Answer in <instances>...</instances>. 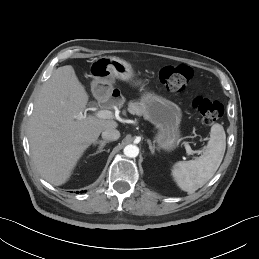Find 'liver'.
<instances>
[{"mask_svg":"<svg viewBox=\"0 0 259 259\" xmlns=\"http://www.w3.org/2000/svg\"><path fill=\"white\" fill-rule=\"evenodd\" d=\"M88 100L74 68L66 65L53 72L35 102L28 128L31 155L41 176L55 186L70 178L102 131L118 127L114 120L83 115Z\"/></svg>","mask_w":259,"mask_h":259,"instance_id":"obj_1","label":"liver"}]
</instances>
